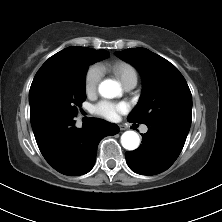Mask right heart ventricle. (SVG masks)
I'll list each match as a JSON object with an SVG mask.
<instances>
[{
	"label": "right heart ventricle",
	"instance_id": "e07e8e85",
	"mask_svg": "<svg viewBox=\"0 0 222 222\" xmlns=\"http://www.w3.org/2000/svg\"><path fill=\"white\" fill-rule=\"evenodd\" d=\"M102 69L112 72L120 80L123 86L128 83H137V71L135 67L128 62L116 61L108 65H103Z\"/></svg>",
	"mask_w": 222,
	"mask_h": 222
}]
</instances>
